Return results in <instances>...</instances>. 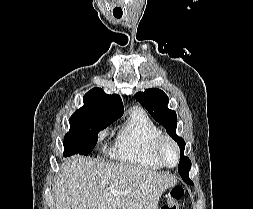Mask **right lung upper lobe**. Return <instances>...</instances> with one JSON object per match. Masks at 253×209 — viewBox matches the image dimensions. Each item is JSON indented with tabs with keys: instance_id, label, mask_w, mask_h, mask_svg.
I'll use <instances>...</instances> for the list:
<instances>
[{
	"instance_id": "cb5924a9",
	"label": "right lung upper lobe",
	"mask_w": 253,
	"mask_h": 209,
	"mask_svg": "<svg viewBox=\"0 0 253 209\" xmlns=\"http://www.w3.org/2000/svg\"><path fill=\"white\" fill-rule=\"evenodd\" d=\"M122 100L118 95H107L101 88H93L84 95V106L74 112L70 120L95 115L106 119L120 118Z\"/></svg>"
}]
</instances>
